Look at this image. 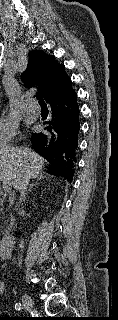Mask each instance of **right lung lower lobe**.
Segmentation results:
<instances>
[{"label": "right lung lower lobe", "instance_id": "obj_1", "mask_svg": "<svg viewBox=\"0 0 118 320\" xmlns=\"http://www.w3.org/2000/svg\"><path fill=\"white\" fill-rule=\"evenodd\" d=\"M47 102L45 132L32 134V147L52 164L49 174L72 181L80 131L77 94L71 86Z\"/></svg>", "mask_w": 118, "mask_h": 320}]
</instances>
